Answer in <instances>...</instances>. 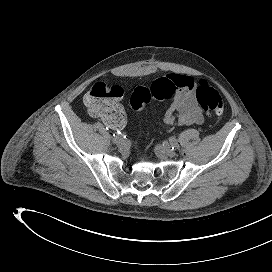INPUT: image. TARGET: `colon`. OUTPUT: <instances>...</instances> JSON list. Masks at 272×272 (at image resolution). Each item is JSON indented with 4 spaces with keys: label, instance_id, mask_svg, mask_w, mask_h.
I'll list each match as a JSON object with an SVG mask.
<instances>
[{
    "label": "colon",
    "instance_id": "obj_1",
    "mask_svg": "<svg viewBox=\"0 0 272 272\" xmlns=\"http://www.w3.org/2000/svg\"><path fill=\"white\" fill-rule=\"evenodd\" d=\"M177 84L171 78H159L148 87L136 88L130 98L134 110L142 109L150 100H168L175 96ZM123 89L119 86L109 87L104 83H95L84 97L87 109L101 118L110 117L119 109V99ZM195 96L200 106L213 117H221L224 113V101L217 90L207 82L200 81L195 86Z\"/></svg>",
    "mask_w": 272,
    "mask_h": 272
}]
</instances>
